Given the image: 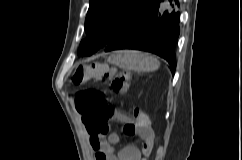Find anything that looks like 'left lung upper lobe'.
<instances>
[{
	"label": "left lung upper lobe",
	"mask_w": 242,
	"mask_h": 160,
	"mask_svg": "<svg viewBox=\"0 0 242 160\" xmlns=\"http://www.w3.org/2000/svg\"><path fill=\"white\" fill-rule=\"evenodd\" d=\"M152 0H90L85 20L87 38L78 54L89 56L131 25Z\"/></svg>",
	"instance_id": "left-lung-upper-lobe-1"
}]
</instances>
